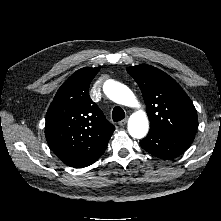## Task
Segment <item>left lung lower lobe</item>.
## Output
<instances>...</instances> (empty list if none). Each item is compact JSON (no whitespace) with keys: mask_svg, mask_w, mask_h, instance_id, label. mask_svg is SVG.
Listing matches in <instances>:
<instances>
[{"mask_svg":"<svg viewBox=\"0 0 221 221\" xmlns=\"http://www.w3.org/2000/svg\"><path fill=\"white\" fill-rule=\"evenodd\" d=\"M194 137L185 135H167L149 131L140 141L141 147L150 154L162 158L173 159L181 155L193 142Z\"/></svg>","mask_w":221,"mask_h":221,"instance_id":"left-lung-lower-lobe-1","label":"left lung lower lobe"}]
</instances>
